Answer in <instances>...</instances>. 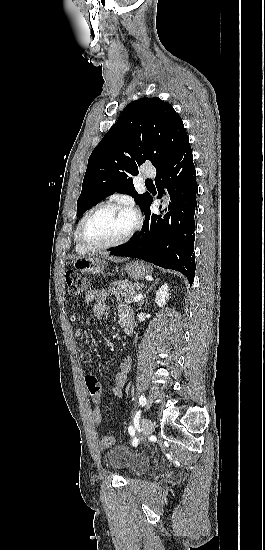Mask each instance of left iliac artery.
<instances>
[{"mask_svg": "<svg viewBox=\"0 0 265 550\" xmlns=\"http://www.w3.org/2000/svg\"><path fill=\"white\" fill-rule=\"evenodd\" d=\"M139 403H140V405H141L142 407L146 405V398H145V396L141 395V396L139 397ZM128 432H129V434H130L131 436H133L132 445H133V446H137L139 440H138L136 437H134V435H135V430H134V428H133L132 426H130V427L128 428Z\"/></svg>", "mask_w": 265, "mask_h": 550, "instance_id": "44dca946", "label": "left iliac artery"}]
</instances>
